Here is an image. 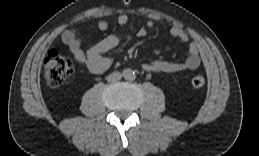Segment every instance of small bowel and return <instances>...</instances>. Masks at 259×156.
Returning <instances> with one entry per match:
<instances>
[{
    "label": "small bowel",
    "instance_id": "obj_1",
    "mask_svg": "<svg viewBox=\"0 0 259 156\" xmlns=\"http://www.w3.org/2000/svg\"><path fill=\"white\" fill-rule=\"evenodd\" d=\"M129 22V17L126 14H121L118 17L120 25H126ZM153 21L147 20L139 30L140 36H146L148 31L153 28ZM109 25L106 21H100L98 28L100 31H106ZM170 34L180 40L187 42L189 37L187 33L179 28L173 27ZM62 41L68 47L73 57L83 64L92 73L100 74L106 71L112 64V61L105 54L115 48L120 37L117 35H108L99 41L97 44L84 50L81 46V40L78 38L77 32L73 29L67 30L62 34ZM201 63L199 47L196 43L191 42L188 48V56L182 62H172L166 60H154L142 64L143 70L154 73H174L180 71H192L199 67Z\"/></svg>",
    "mask_w": 259,
    "mask_h": 156
}]
</instances>
